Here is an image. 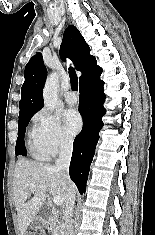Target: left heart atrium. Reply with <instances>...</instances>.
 <instances>
[{
  "label": "left heart atrium",
  "instance_id": "39dd6f15",
  "mask_svg": "<svg viewBox=\"0 0 155 235\" xmlns=\"http://www.w3.org/2000/svg\"><path fill=\"white\" fill-rule=\"evenodd\" d=\"M64 121L66 129L70 134L74 135L82 128V118L75 110H67L64 113Z\"/></svg>",
  "mask_w": 155,
  "mask_h": 235
}]
</instances>
